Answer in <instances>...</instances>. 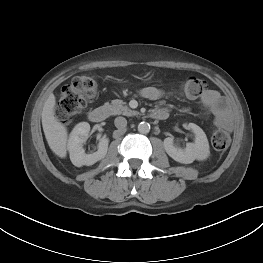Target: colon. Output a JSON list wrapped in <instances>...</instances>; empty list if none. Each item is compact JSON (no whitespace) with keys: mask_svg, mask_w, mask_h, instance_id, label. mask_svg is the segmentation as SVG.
<instances>
[{"mask_svg":"<svg viewBox=\"0 0 263 263\" xmlns=\"http://www.w3.org/2000/svg\"><path fill=\"white\" fill-rule=\"evenodd\" d=\"M205 82L197 77H188L181 83L182 93L188 98H198L205 92ZM98 94V83L93 76H78L62 88L56 114L63 121L77 115ZM215 150L223 151L230 144V136L223 129H216L211 136Z\"/></svg>","mask_w":263,"mask_h":263,"instance_id":"obj_1","label":"colon"}]
</instances>
